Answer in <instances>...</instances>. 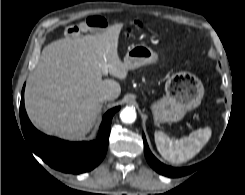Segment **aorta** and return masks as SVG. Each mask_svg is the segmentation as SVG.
I'll return each instance as SVG.
<instances>
[{
  "mask_svg": "<svg viewBox=\"0 0 245 195\" xmlns=\"http://www.w3.org/2000/svg\"><path fill=\"white\" fill-rule=\"evenodd\" d=\"M136 111L131 107L124 108L120 113V118L122 122L131 124L136 120Z\"/></svg>",
  "mask_w": 245,
  "mask_h": 195,
  "instance_id": "762f6f07",
  "label": "aorta"
}]
</instances>
